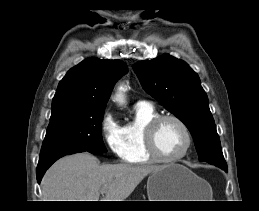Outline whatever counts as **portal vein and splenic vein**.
I'll use <instances>...</instances> for the list:
<instances>
[{
  "label": "portal vein and splenic vein",
  "mask_w": 259,
  "mask_h": 211,
  "mask_svg": "<svg viewBox=\"0 0 259 211\" xmlns=\"http://www.w3.org/2000/svg\"><path fill=\"white\" fill-rule=\"evenodd\" d=\"M106 193V190H101V194H105Z\"/></svg>",
  "instance_id": "1"
}]
</instances>
